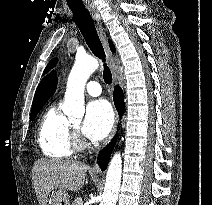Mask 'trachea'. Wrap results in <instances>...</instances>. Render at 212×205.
<instances>
[{
	"label": "trachea",
	"mask_w": 212,
	"mask_h": 205,
	"mask_svg": "<svg viewBox=\"0 0 212 205\" xmlns=\"http://www.w3.org/2000/svg\"><path fill=\"white\" fill-rule=\"evenodd\" d=\"M68 5L74 15L75 22L80 29V32L82 33L88 47L90 48L92 53L103 62V79L105 83L111 84L112 74L107 64L105 63V52L89 11L83 4Z\"/></svg>",
	"instance_id": "3493384b"
}]
</instances>
